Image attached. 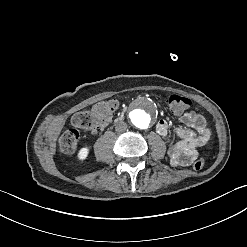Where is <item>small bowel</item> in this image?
<instances>
[{
  "label": "small bowel",
  "instance_id": "obj_1",
  "mask_svg": "<svg viewBox=\"0 0 247 247\" xmlns=\"http://www.w3.org/2000/svg\"><path fill=\"white\" fill-rule=\"evenodd\" d=\"M180 121L185 126H178L173 129L179 140L169 144L168 157L173 166L185 167L197 159L198 149L208 142L210 136L206 134L209 129L206 126L204 116L200 113L194 111L182 113ZM170 129V125L165 120H159L156 124L157 132L166 141H169Z\"/></svg>",
  "mask_w": 247,
  "mask_h": 247
}]
</instances>
